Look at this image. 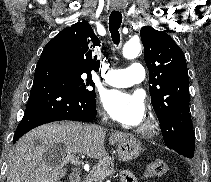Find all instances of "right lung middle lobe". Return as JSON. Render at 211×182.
Returning a JSON list of instances; mask_svg holds the SVG:
<instances>
[{"instance_id":"obj_1","label":"right lung middle lobe","mask_w":211,"mask_h":182,"mask_svg":"<svg viewBox=\"0 0 211 182\" xmlns=\"http://www.w3.org/2000/svg\"><path fill=\"white\" fill-rule=\"evenodd\" d=\"M62 63L67 68V71L69 72L74 83L80 88L81 93H83L85 96L95 98V85L91 74L73 65L67 64L65 62ZM84 74H87V78H83ZM89 87H93V90H91Z\"/></svg>"}]
</instances>
